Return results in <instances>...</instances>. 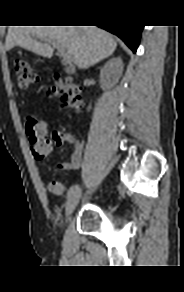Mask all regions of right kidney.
<instances>
[{
	"instance_id": "right-kidney-1",
	"label": "right kidney",
	"mask_w": 184,
	"mask_h": 292,
	"mask_svg": "<svg viewBox=\"0 0 184 292\" xmlns=\"http://www.w3.org/2000/svg\"><path fill=\"white\" fill-rule=\"evenodd\" d=\"M123 68V61L120 57L107 61L100 70V84L102 89L113 88L122 76Z\"/></svg>"
}]
</instances>
